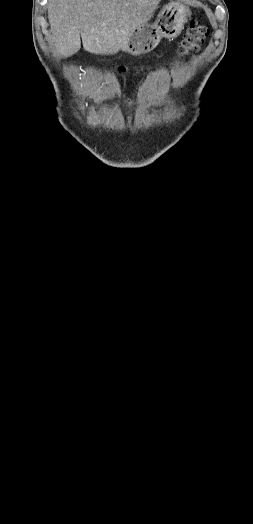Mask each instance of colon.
<instances>
[{
    "instance_id": "colon-1",
    "label": "colon",
    "mask_w": 253,
    "mask_h": 524,
    "mask_svg": "<svg viewBox=\"0 0 253 524\" xmlns=\"http://www.w3.org/2000/svg\"><path fill=\"white\" fill-rule=\"evenodd\" d=\"M210 34V28L201 21H193L186 29L179 52L181 55H188L195 52L203 44ZM121 71L126 70V66H120Z\"/></svg>"
}]
</instances>
